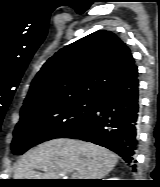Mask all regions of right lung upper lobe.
<instances>
[{"label":"right lung upper lobe","instance_id":"1","mask_svg":"<svg viewBox=\"0 0 160 187\" xmlns=\"http://www.w3.org/2000/svg\"><path fill=\"white\" fill-rule=\"evenodd\" d=\"M135 61L114 33L100 30L62 48L33 79L21 112L79 98H97Z\"/></svg>","mask_w":160,"mask_h":187}]
</instances>
